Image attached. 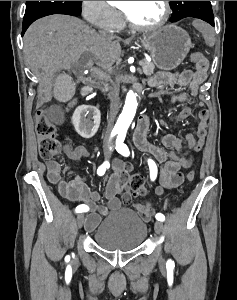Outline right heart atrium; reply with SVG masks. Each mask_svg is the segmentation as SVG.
Here are the masks:
<instances>
[{"label":"right heart atrium","mask_w":237,"mask_h":300,"mask_svg":"<svg viewBox=\"0 0 237 300\" xmlns=\"http://www.w3.org/2000/svg\"><path fill=\"white\" fill-rule=\"evenodd\" d=\"M81 11L84 19L95 28L114 31L121 26L119 11L107 1H82Z\"/></svg>","instance_id":"obj_1"}]
</instances>
